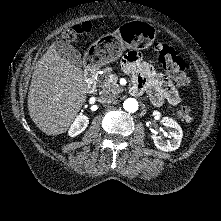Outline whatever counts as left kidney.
Listing matches in <instances>:
<instances>
[{"instance_id": "1", "label": "left kidney", "mask_w": 221, "mask_h": 221, "mask_svg": "<svg viewBox=\"0 0 221 221\" xmlns=\"http://www.w3.org/2000/svg\"><path fill=\"white\" fill-rule=\"evenodd\" d=\"M162 122L165 126L171 129L169 133V137L171 138V140H164L161 136L157 135H151V139L158 149L165 152L175 151L179 148L181 139L183 137L182 129L175 120L169 117H163Z\"/></svg>"}]
</instances>
